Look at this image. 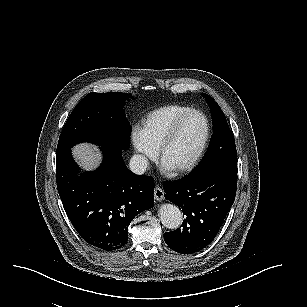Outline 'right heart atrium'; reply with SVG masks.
<instances>
[{
	"label": "right heart atrium",
	"instance_id": "1",
	"mask_svg": "<svg viewBox=\"0 0 307 307\" xmlns=\"http://www.w3.org/2000/svg\"><path fill=\"white\" fill-rule=\"evenodd\" d=\"M134 148L136 149V157L140 161L149 162L153 158L155 148L148 134H139L134 141Z\"/></svg>",
	"mask_w": 307,
	"mask_h": 307
}]
</instances>
